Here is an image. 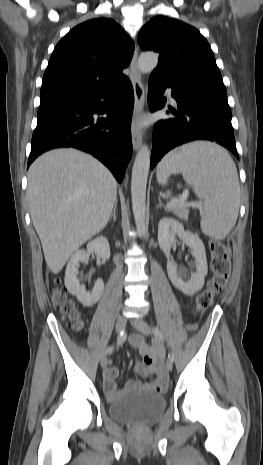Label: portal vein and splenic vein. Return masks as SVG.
<instances>
[{
  "instance_id": "1",
  "label": "portal vein and splenic vein",
  "mask_w": 263,
  "mask_h": 465,
  "mask_svg": "<svg viewBox=\"0 0 263 465\" xmlns=\"http://www.w3.org/2000/svg\"><path fill=\"white\" fill-rule=\"evenodd\" d=\"M188 195H189V191L184 190L182 195L178 199H174V200H172L171 202H169L167 204V208L170 209V210H173L176 207L181 206V205H185L187 207L188 206H191V207H201L202 206V203H200V202L187 203L186 199H187Z\"/></svg>"
}]
</instances>
